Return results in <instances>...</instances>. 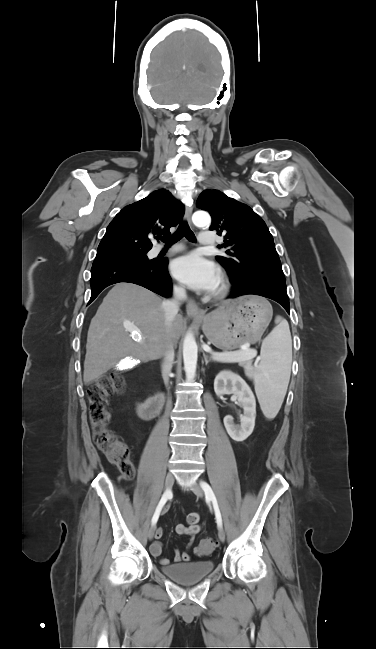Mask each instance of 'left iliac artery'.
<instances>
[{"instance_id":"1","label":"left iliac artery","mask_w":376,"mask_h":649,"mask_svg":"<svg viewBox=\"0 0 376 649\" xmlns=\"http://www.w3.org/2000/svg\"><path fill=\"white\" fill-rule=\"evenodd\" d=\"M200 485H201L202 489L205 492L206 498L208 500L212 501L214 511H215V516H216V522H217L218 526L221 527L222 526V518H221V513H220V510H219V506H218L215 494H214L212 488L210 487V485L208 483L203 481V482L200 483Z\"/></svg>"}]
</instances>
